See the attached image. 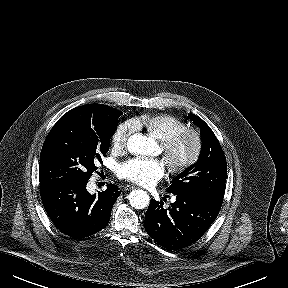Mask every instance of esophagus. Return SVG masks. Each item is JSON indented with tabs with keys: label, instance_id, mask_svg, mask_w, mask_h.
Instances as JSON below:
<instances>
[{
	"label": "esophagus",
	"instance_id": "1",
	"mask_svg": "<svg viewBox=\"0 0 288 288\" xmlns=\"http://www.w3.org/2000/svg\"><path fill=\"white\" fill-rule=\"evenodd\" d=\"M134 188H135L134 186L127 185V186H125L123 189H124L125 191H127V190H131V189H134Z\"/></svg>",
	"mask_w": 288,
	"mask_h": 288
}]
</instances>
